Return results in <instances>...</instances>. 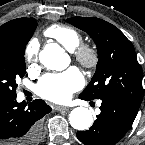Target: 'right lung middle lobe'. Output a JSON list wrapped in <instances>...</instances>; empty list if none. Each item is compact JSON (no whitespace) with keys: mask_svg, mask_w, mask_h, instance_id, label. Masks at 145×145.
I'll use <instances>...</instances> for the list:
<instances>
[{"mask_svg":"<svg viewBox=\"0 0 145 145\" xmlns=\"http://www.w3.org/2000/svg\"><path fill=\"white\" fill-rule=\"evenodd\" d=\"M37 23L22 35L0 40V92L16 94V78H22L25 71L24 52Z\"/></svg>","mask_w":145,"mask_h":145,"instance_id":"dd1d6c3e","label":"right lung middle lobe"}]
</instances>
